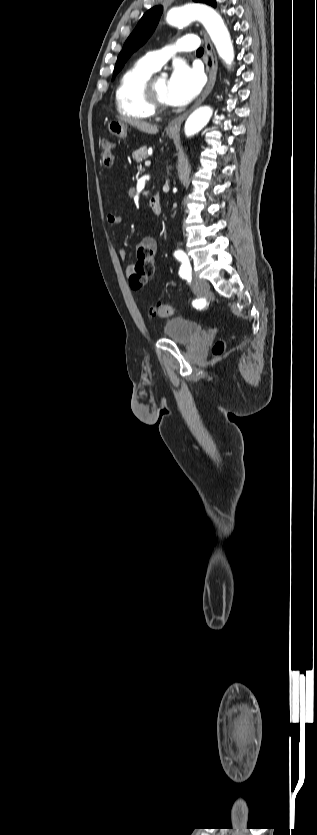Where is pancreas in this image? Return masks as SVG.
I'll list each match as a JSON object with an SVG mask.
<instances>
[{"instance_id": "cf45deb5", "label": "pancreas", "mask_w": 317, "mask_h": 835, "mask_svg": "<svg viewBox=\"0 0 317 835\" xmlns=\"http://www.w3.org/2000/svg\"><path fill=\"white\" fill-rule=\"evenodd\" d=\"M147 151H148L147 146H143V147L139 148L138 150L134 151L132 153L133 160H135L137 163H140L143 160L147 159L148 158Z\"/></svg>"}]
</instances>
